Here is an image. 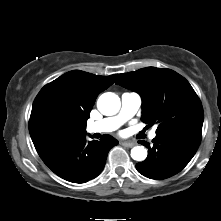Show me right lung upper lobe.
Listing matches in <instances>:
<instances>
[{"instance_id":"right-lung-upper-lobe-1","label":"right lung upper lobe","mask_w":221,"mask_h":221,"mask_svg":"<svg viewBox=\"0 0 221 221\" xmlns=\"http://www.w3.org/2000/svg\"><path fill=\"white\" fill-rule=\"evenodd\" d=\"M116 77L117 74L97 76L74 70L45 85L33 102L29 120L35 148L52 140L86 133V122L97 96ZM57 122L65 125V134L55 130Z\"/></svg>"}]
</instances>
